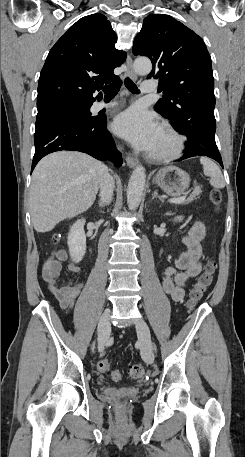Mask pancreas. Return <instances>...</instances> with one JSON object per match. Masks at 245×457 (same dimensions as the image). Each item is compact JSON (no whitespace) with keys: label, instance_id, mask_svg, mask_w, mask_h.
<instances>
[{"label":"pancreas","instance_id":"1","mask_svg":"<svg viewBox=\"0 0 245 457\" xmlns=\"http://www.w3.org/2000/svg\"><path fill=\"white\" fill-rule=\"evenodd\" d=\"M201 186H194L191 194H189L188 198L186 200H183V202H179V204H188V202H191V200H194L196 198L197 194H201Z\"/></svg>","mask_w":245,"mask_h":457}]
</instances>
